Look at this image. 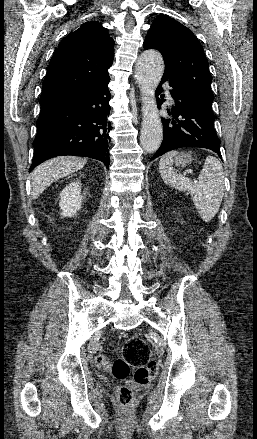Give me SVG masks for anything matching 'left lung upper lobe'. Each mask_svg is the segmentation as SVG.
<instances>
[{"label": "left lung upper lobe", "instance_id": "5c2ea615", "mask_svg": "<svg viewBox=\"0 0 257 439\" xmlns=\"http://www.w3.org/2000/svg\"><path fill=\"white\" fill-rule=\"evenodd\" d=\"M143 47L160 51L165 62L164 76L186 85L212 103L208 61L202 45L190 29L169 16L159 15L148 31Z\"/></svg>", "mask_w": 257, "mask_h": 439}]
</instances>
